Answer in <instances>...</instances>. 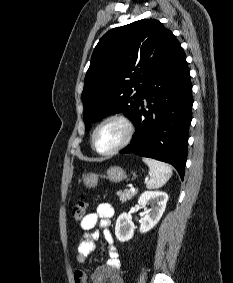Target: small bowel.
Returning a JSON list of instances; mask_svg holds the SVG:
<instances>
[{"label": "small bowel", "instance_id": "1", "mask_svg": "<svg viewBox=\"0 0 233 283\" xmlns=\"http://www.w3.org/2000/svg\"><path fill=\"white\" fill-rule=\"evenodd\" d=\"M114 209L109 203H100L95 212L87 214L81 222L84 233L77 245L76 259L82 263L93 252L95 241L99 238L96 231H92L96 225L102 230L104 240L108 248V260L106 264L99 266L92 275L93 283H123L120 273L121 261L114 238L110 230ZM75 283H86V274L83 271L74 273Z\"/></svg>", "mask_w": 233, "mask_h": 283}]
</instances>
